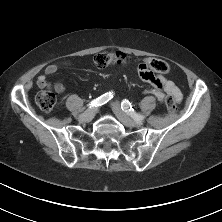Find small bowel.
<instances>
[{
	"mask_svg": "<svg viewBox=\"0 0 222 222\" xmlns=\"http://www.w3.org/2000/svg\"><path fill=\"white\" fill-rule=\"evenodd\" d=\"M69 65L68 63H53L48 65L45 68L46 76H52L56 74L61 67ZM46 76H40L37 84L40 88L49 87L50 83L48 82ZM137 77L140 80H144L148 83L152 84V88L145 91L147 94H153L160 102H164L165 94L164 92L173 97L175 102H180L182 99V93L180 89L176 86V84L168 79H166L163 75H156L153 72L147 71L146 69H140L137 72ZM54 88L57 92L62 93L65 90V87L62 83H56Z\"/></svg>",
	"mask_w": 222,
	"mask_h": 222,
	"instance_id": "c3829d8e",
	"label": "small bowel"
}]
</instances>
